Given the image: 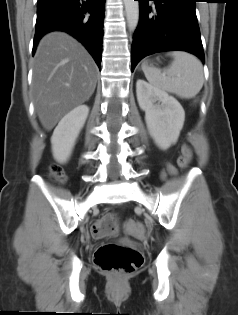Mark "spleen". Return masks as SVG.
Segmentation results:
<instances>
[{"label":"spleen","instance_id":"obj_1","mask_svg":"<svg viewBox=\"0 0 238 315\" xmlns=\"http://www.w3.org/2000/svg\"><path fill=\"white\" fill-rule=\"evenodd\" d=\"M173 62L164 71L142 64L149 83L157 89L167 91L180 98L195 97L204 83L203 65L194 55L187 52L169 53Z\"/></svg>","mask_w":238,"mask_h":315}]
</instances>
